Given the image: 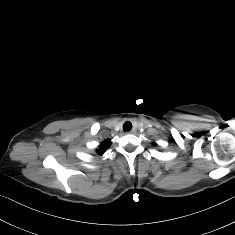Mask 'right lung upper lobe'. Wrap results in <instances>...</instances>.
<instances>
[{"label": "right lung upper lobe", "instance_id": "1", "mask_svg": "<svg viewBox=\"0 0 235 235\" xmlns=\"http://www.w3.org/2000/svg\"><path fill=\"white\" fill-rule=\"evenodd\" d=\"M111 142L110 140H105L99 147V149L96 151L97 154L102 155L104 153V150H106L110 146Z\"/></svg>", "mask_w": 235, "mask_h": 235}]
</instances>
